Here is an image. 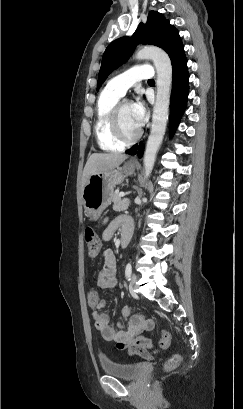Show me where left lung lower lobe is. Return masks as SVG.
Segmentation results:
<instances>
[{
  "label": "left lung lower lobe",
  "instance_id": "obj_1",
  "mask_svg": "<svg viewBox=\"0 0 243 409\" xmlns=\"http://www.w3.org/2000/svg\"><path fill=\"white\" fill-rule=\"evenodd\" d=\"M173 68L172 93L170 100V134L172 135L183 115L189 93V74L187 71V60L182 46L178 52L171 58ZM142 156L143 146H133L126 151L127 154H136Z\"/></svg>",
  "mask_w": 243,
  "mask_h": 409
}]
</instances>
